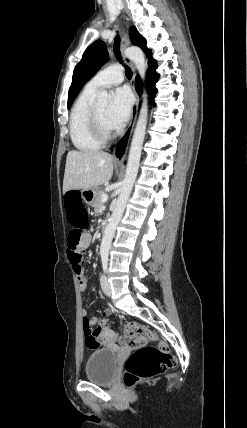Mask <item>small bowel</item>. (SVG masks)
I'll use <instances>...</instances> for the list:
<instances>
[{
    "instance_id": "c3829d8e",
    "label": "small bowel",
    "mask_w": 247,
    "mask_h": 428,
    "mask_svg": "<svg viewBox=\"0 0 247 428\" xmlns=\"http://www.w3.org/2000/svg\"><path fill=\"white\" fill-rule=\"evenodd\" d=\"M91 242H92V236H91V234H89V233L83 234L81 236V239H80L79 244H78V250L80 252L87 250L89 248V246L91 245ZM68 258H69V260H70V262L72 264L74 272L77 275L79 289H80V291L83 292V291H85L87 289L88 282H87V279H86V277L84 275V272H83V270L81 268V262H79L78 260H76L74 258V256H73L72 252L70 251V249L68 251ZM82 315H83V318L87 317L90 320V323H89L90 326H94L96 324L97 325L100 324L98 322V319L96 317H88L87 310L85 308L82 309ZM103 340H106L107 344H109V343L112 342V336L109 334L108 331L106 333H103Z\"/></svg>"
}]
</instances>
